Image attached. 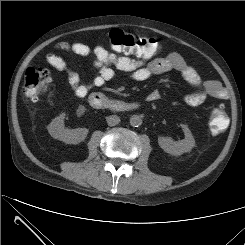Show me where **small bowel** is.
<instances>
[{
  "label": "small bowel",
  "mask_w": 245,
  "mask_h": 245,
  "mask_svg": "<svg viewBox=\"0 0 245 245\" xmlns=\"http://www.w3.org/2000/svg\"><path fill=\"white\" fill-rule=\"evenodd\" d=\"M55 48L65 52L68 57L77 55L91 57L93 60L97 74L88 82L82 83L79 74L72 69L67 58L53 53L46 56L50 66L66 74L72 93L79 98L86 97L93 89L111 80L115 70L126 73L129 79L135 82H144L155 75L176 71L193 89L184 97V102L191 107L199 106L207 99L226 97V91L218 82L202 80L199 73L176 52H169L152 61H144L119 56L100 45L91 47L83 43L60 42ZM157 97L155 92L149 95L150 100H155Z\"/></svg>",
  "instance_id": "small-bowel-1"
}]
</instances>
